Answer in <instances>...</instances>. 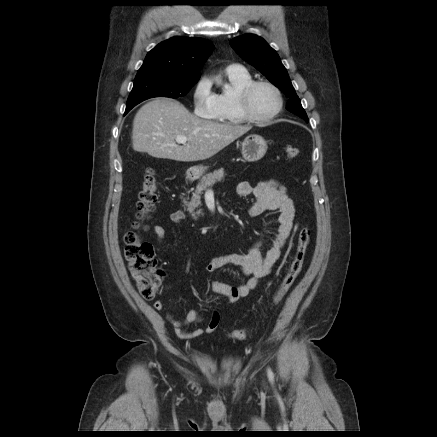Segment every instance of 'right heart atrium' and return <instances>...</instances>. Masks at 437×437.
I'll return each mask as SVG.
<instances>
[{
    "mask_svg": "<svg viewBox=\"0 0 437 437\" xmlns=\"http://www.w3.org/2000/svg\"><path fill=\"white\" fill-rule=\"evenodd\" d=\"M193 106L196 115L203 118H214L217 112L216 94L212 92L209 82L201 79L195 86Z\"/></svg>",
    "mask_w": 437,
    "mask_h": 437,
    "instance_id": "d8ad5b80",
    "label": "right heart atrium"
}]
</instances>
